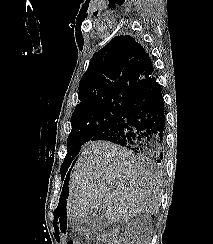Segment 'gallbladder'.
Returning a JSON list of instances; mask_svg holds the SVG:
<instances>
[{
    "label": "gallbladder",
    "mask_w": 213,
    "mask_h": 244,
    "mask_svg": "<svg viewBox=\"0 0 213 244\" xmlns=\"http://www.w3.org/2000/svg\"><path fill=\"white\" fill-rule=\"evenodd\" d=\"M111 221L105 216L101 207L81 218L73 220L72 230L80 235L87 236L100 233L105 230Z\"/></svg>",
    "instance_id": "bac80fb5"
}]
</instances>
